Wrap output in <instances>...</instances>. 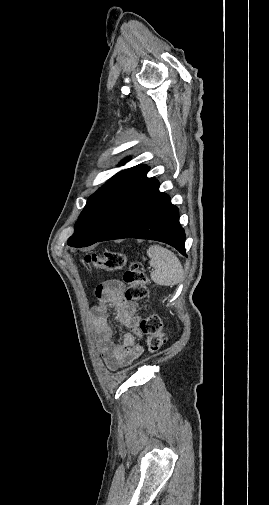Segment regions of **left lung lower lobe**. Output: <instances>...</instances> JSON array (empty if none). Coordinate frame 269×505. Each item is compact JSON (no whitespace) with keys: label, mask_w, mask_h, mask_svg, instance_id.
Returning a JSON list of instances; mask_svg holds the SVG:
<instances>
[{"label":"left lung lower lobe","mask_w":269,"mask_h":505,"mask_svg":"<svg viewBox=\"0 0 269 505\" xmlns=\"http://www.w3.org/2000/svg\"><path fill=\"white\" fill-rule=\"evenodd\" d=\"M147 167L132 197L110 229L98 240L149 239L167 243L185 253V232L179 223L178 208L170 197L159 192V182L147 178ZM97 241V242H98Z\"/></svg>","instance_id":"1"}]
</instances>
